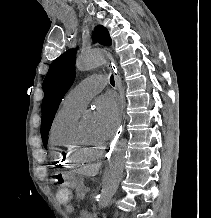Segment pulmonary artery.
<instances>
[{
    "instance_id": "pulmonary-artery-1",
    "label": "pulmonary artery",
    "mask_w": 211,
    "mask_h": 218,
    "mask_svg": "<svg viewBox=\"0 0 211 218\" xmlns=\"http://www.w3.org/2000/svg\"><path fill=\"white\" fill-rule=\"evenodd\" d=\"M103 76L93 75L83 80L82 83L75 86L69 91L63 100V106L82 111L88 101L98 92L103 91V87H107L105 80H90L103 79Z\"/></svg>"
}]
</instances>
